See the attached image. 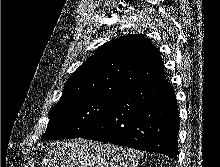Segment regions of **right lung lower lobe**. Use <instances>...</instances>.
Wrapping results in <instances>:
<instances>
[{"label":"right lung lower lobe","mask_w":220,"mask_h":167,"mask_svg":"<svg viewBox=\"0 0 220 167\" xmlns=\"http://www.w3.org/2000/svg\"><path fill=\"white\" fill-rule=\"evenodd\" d=\"M178 130L175 94L161 78L115 96L105 115L81 137L173 158L178 155Z\"/></svg>","instance_id":"1"}]
</instances>
